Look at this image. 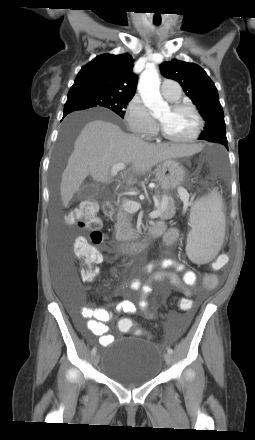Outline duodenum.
Returning <instances> with one entry per match:
<instances>
[{"mask_svg":"<svg viewBox=\"0 0 255 440\" xmlns=\"http://www.w3.org/2000/svg\"><path fill=\"white\" fill-rule=\"evenodd\" d=\"M102 208L107 217H111L114 214L115 206L112 202H104ZM162 231L163 229L158 225L149 226L139 239L131 242H123L119 247L120 251L123 254H135L141 252L146 249V247L156 239Z\"/></svg>","mask_w":255,"mask_h":440,"instance_id":"410a0bca","label":"duodenum"}]
</instances>
